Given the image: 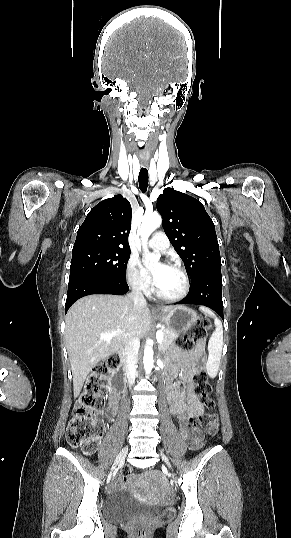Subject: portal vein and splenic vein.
I'll return each mask as SVG.
<instances>
[{
	"label": "portal vein and splenic vein",
	"mask_w": 291,
	"mask_h": 538,
	"mask_svg": "<svg viewBox=\"0 0 291 538\" xmlns=\"http://www.w3.org/2000/svg\"><path fill=\"white\" fill-rule=\"evenodd\" d=\"M119 334H120L119 330H116V331H112V332L102 334L101 338L105 339L106 341H110V339H112L114 336H117ZM156 339H157V342L159 344L162 343V341H163V333H162L161 330L157 331Z\"/></svg>",
	"instance_id": "obj_1"
}]
</instances>
